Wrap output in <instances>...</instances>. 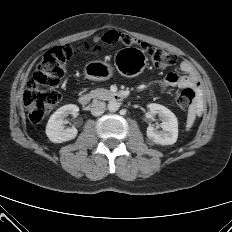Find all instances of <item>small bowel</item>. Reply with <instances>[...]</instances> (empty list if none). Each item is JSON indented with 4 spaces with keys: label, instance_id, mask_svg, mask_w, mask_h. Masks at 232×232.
<instances>
[{
    "label": "small bowel",
    "instance_id": "small-bowel-1",
    "mask_svg": "<svg viewBox=\"0 0 232 232\" xmlns=\"http://www.w3.org/2000/svg\"><path fill=\"white\" fill-rule=\"evenodd\" d=\"M180 73H168L160 82L159 88L165 91L171 87L194 88L199 94L202 92L201 82L197 72L188 60H183L179 66Z\"/></svg>",
    "mask_w": 232,
    "mask_h": 232
}]
</instances>
